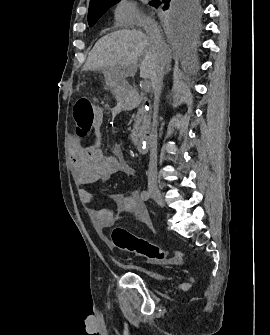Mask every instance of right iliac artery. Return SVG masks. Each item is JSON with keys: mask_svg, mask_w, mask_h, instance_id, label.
<instances>
[{"mask_svg": "<svg viewBox=\"0 0 270 335\" xmlns=\"http://www.w3.org/2000/svg\"><path fill=\"white\" fill-rule=\"evenodd\" d=\"M141 198H142V200H144V201H147L149 198H150V194H149V192L148 191H142L141 192Z\"/></svg>", "mask_w": 270, "mask_h": 335, "instance_id": "82829eb1", "label": "right iliac artery"}]
</instances>
